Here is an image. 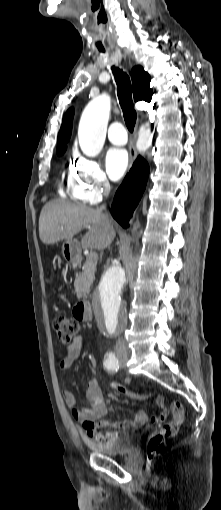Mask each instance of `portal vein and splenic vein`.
I'll use <instances>...</instances> for the list:
<instances>
[{"instance_id": "obj_1", "label": "portal vein and splenic vein", "mask_w": 221, "mask_h": 510, "mask_svg": "<svg viewBox=\"0 0 221 510\" xmlns=\"http://www.w3.org/2000/svg\"><path fill=\"white\" fill-rule=\"evenodd\" d=\"M98 255L95 252H90L86 257V262L88 264H93L94 262H97Z\"/></svg>"}]
</instances>
